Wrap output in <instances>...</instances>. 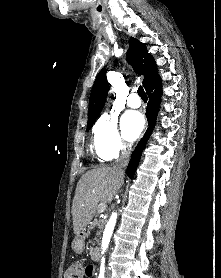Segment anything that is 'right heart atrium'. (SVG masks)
Listing matches in <instances>:
<instances>
[{
	"label": "right heart atrium",
	"instance_id": "right-heart-atrium-1",
	"mask_svg": "<svg viewBox=\"0 0 221 278\" xmlns=\"http://www.w3.org/2000/svg\"><path fill=\"white\" fill-rule=\"evenodd\" d=\"M93 133L96 152L105 160L116 159L125 154L129 148L113 115H102L96 122Z\"/></svg>",
	"mask_w": 221,
	"mask_h": 278
}]
</instances>
